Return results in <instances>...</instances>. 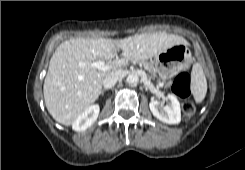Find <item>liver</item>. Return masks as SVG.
Returning <instances> with one entry per match:
<instances>
[{"mask_svg": "<svg viewBox=\"0 0 245 170\" xmlns=\"http://www.w3.org/2000/svg\"><path fill=\"white\" fill-rule=\"evenodd\" d=\"M178 44L188 42L182 36L166 32L136 34L119 40L76 38L64 41L52 55L44 80L48 112L58 123L71 125L98 99L108 74L122 71L120 68L129 61L155 57ZM119 49L123 51V58L111 61L108 70L90 66L93 62L113 59Z\"/></svg>", "mask_w": 245, "mask_h": 170, "instance_id": "1", "label": "liver"}]
</instances>
